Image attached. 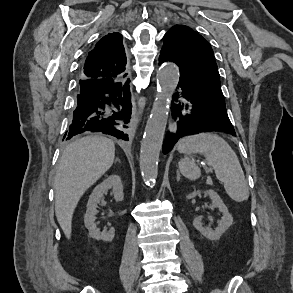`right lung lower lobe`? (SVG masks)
<instances>
[{"label": "right lung lower lobe", "instance_id": "right-lung-lower-lobe-1", "mask_svg": "<svg viewBox=\"0 0 293 293\" xmlns=\"http://www.w3.org/2000/svg\"><path fill=\"white\" fill-rule=\"evenodd\" d=\"M129 79L80 80L71 124L65 136L86 132H102L128 140L124 123L131 115Z\"/></svg>", "mask_w": 293, "mask_h": 293}]
</instances>
